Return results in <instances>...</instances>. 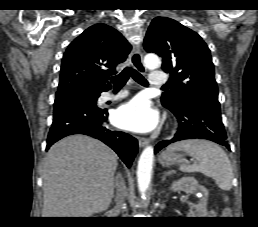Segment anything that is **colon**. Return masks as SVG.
<instances>
[{"instance_id": "colon-1", "label": "colon", "mask_w": 258, "mask_h": 227, "mask_svg": "<svg viewBox=\"0 0 258 227\" xmlns=\"http://www.w3.org/2000/svg\"><path fill=\"white\" fill-rule=\"evenodd\" d=\"M223 215L226 217V218H229V216H231V210L227 207L225 208L224 212H223Z\"/></svg>"}]
</instances>
